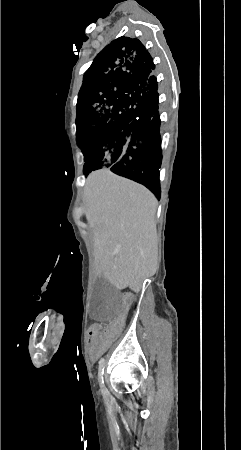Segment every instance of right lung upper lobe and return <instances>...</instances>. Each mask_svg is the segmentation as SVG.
I'll use <instances>...</instances> for the list:
<instances>
[{
	"mask_svg": "<svg viewBox=\"0 0 241 450\" xmlns=\"http://www.w3.org/2000/svg\"><path fill=\"white\" fill-rule=\"evenodd\" d=\"M155 65L138 39L119 37L107 45L86 71L83 82L114 85L125 97L144 100Z\"/></svg>",
	"mask_w": 241,
	"mask_h": 450,
	"instance_id": "1",
	"label": "right lung upper lobe"
}]
</instances>
